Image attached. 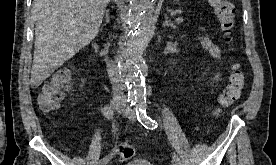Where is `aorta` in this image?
<instances>
[{
	"mask_svg": "<svg viewBox=\"0 0 276 165\" xmlns=\"http://www.w3.org/2000/svg\"><path fill=\"white\" fill-rule=\"evenodd\" d=\"M156 0H130L127 22L119 44V71L136 102L146 100L144 76L146 64L142 53L152 32Z\"/></svg>",
	"mask_w": 276,
	"mask_h": 165,
	"instance_id": "aorta-1",
	"label": "aorta"
}]
</instances>
